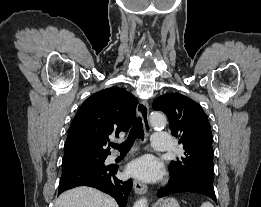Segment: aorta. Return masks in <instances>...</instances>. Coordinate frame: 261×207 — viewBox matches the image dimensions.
<instances>
[{
  "label": "aorta",
  "instance_id": "762f6f07",
  "mask_svg": "<svg viewBox=\"0 0 261 207\" xmlns=\"http://www.w3.org/2000/svg\"><path fill=\"white\" fill-rule=\"evenodd\" d=\"M150 123L154 128L162 129L166 126L167 119L161 112H152L150 114ZM133 207H148L147 199L145 197L140 198Z\"/></svg>",
  "mask_w": 261,
  "mask_h": 207
}]
</instances>
